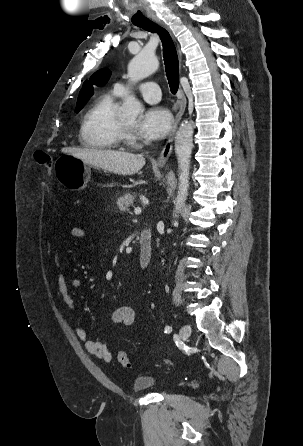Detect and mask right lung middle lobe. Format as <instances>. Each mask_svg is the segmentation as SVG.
Listing matches in <instances>:
<instances>
[{"label": "right lung middle lobe", "instance_id": "right-lung-middle-lobe-1", "mask_svg": "<svg viewBox=\"0 0 303 446\" xmlns=\"http://www.w3.org/2000/svg\"><path fill=\"white\" fill-rule=\"evenodd\" d=\"M84 105H80V106H78V108H82Z\"/></svg>", "mask_w": 303, "mask_h": 446}]
</instances>
